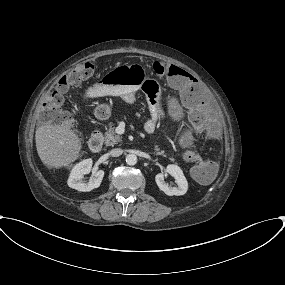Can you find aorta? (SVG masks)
Listing matches in <instances>:
<instances>
[{"label": "aorta", "instance_id": "aorta-1", "mask_svg": "<svg viewBox=\"0 0 285 285\" xmlns=\"http://www.w3.org/2000/svg\"><path fill=\"white\" fill-rule=\"evenodd\" d=\"M126 163L128 165H135L137 163V156L135 154H128L126 156Z\"/></svg>", "mask_w": 285, "mask_h": 285}]
</instances>
